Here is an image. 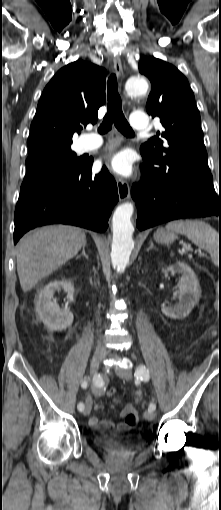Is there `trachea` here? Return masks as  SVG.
<instances>
[{
	"label": "trachea",
	"mask_w": 221,
	"mask_h": 510,
	"mask_svg": "<svg viewBox=\"0 0 221 510\" xmlns=\"http://www.w3.org/2000/svg\"><path fill=\"white\" fill-rule=\"evenodd\" d=\"M107 100H108L107 113L103 118L102 124L98 128V132L100 134L107 133L111 129L112 124L114 123V125L120 132L126 135L133 136L134 132L122 112V102L118 93V83L116 75L114 74H112L108 78Z\"/></svg>",
	"instance_id": "3493384b"
}]
</instances>
